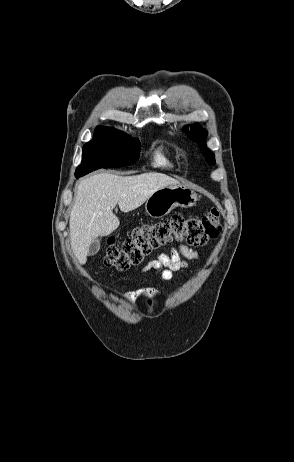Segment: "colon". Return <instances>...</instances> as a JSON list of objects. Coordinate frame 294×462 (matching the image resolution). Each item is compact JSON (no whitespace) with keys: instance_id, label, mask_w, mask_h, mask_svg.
<instances>
[{"instance_id":"obj_1","label":"colon","mask_w":294,"mask_h":462,"mask_svg":"<svg viewBox=\"0 0 294 462\" xmlns=\"http://www.w3.org/2000/svg\"><path fill=\"white\" fill-rule=\"evenodd\" d=\"M221 231L220 214L212 209L202 217L176 215L170 219L144 224L133 230L122 244L110 240L104 263L125 271L138 265L153 250L173 241L204 246L215 240Z\"/></svg>"}]
</instances>
